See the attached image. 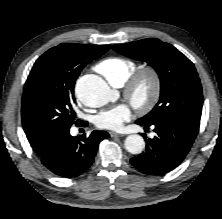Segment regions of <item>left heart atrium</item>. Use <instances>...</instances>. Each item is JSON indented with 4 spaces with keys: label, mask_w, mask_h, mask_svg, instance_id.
<instances>
[{
    "label": "left heart atrium",
    "mask_w": 222,
    "mask_h": 219,
    "mask_svg": "<svg viewBox=\"0 0 222 219\" xmlns=\"http://www.w3.org/2000/svg\"><path fill=\"white\" fill-rule=\"evenodd\" d=\"M130 118V107L127 104H119L100 112L95 118V124L102 129L118 131Z\"/></svg>",
    "instance_id": "39dd6f15"
}]
</instances>
